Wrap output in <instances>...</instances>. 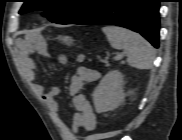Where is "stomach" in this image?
Listing matches in <instances>:
<instances>
[{
	"label": "stomach",
	"mask_w": 182,
	"mask_h": 140,
	"mask_svg": "<svg viewBox=\"0 0 182 140\" xmlns=\"http://www.w3.org/2000/svg\"><path fill=\"white\" fill-rule=\"evenodd\" d=\"M59 40L62 41L63 43H65L66 45H71L73 42V39L68 36H60Z\"/></svg>",
	"instance_id": "stomach-1"
}]
</instances>
